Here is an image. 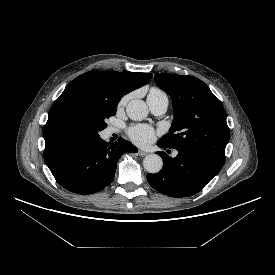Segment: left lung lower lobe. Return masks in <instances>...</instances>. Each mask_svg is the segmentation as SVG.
<instances>
[{
    "label": "left lung lower lobe",
    "instance_id": "left-lung-lower-lobe-1",
    "mask_svg": "<svg viewBox=\"0 0 275 275\" xmlns=\"http://www.w3.org/2000/svg\"><path fill=\"white\" fill-rule=\"evenodd\" d=\"M157 145L170 148L160 142ZM176 150L178 155L175 158L165 152H158L163 158V168L156 174L147 175L154 189L170 197L196 194L220 171L225 162L194 150Z\"/></svg>",
    "mask_w": 275,
    "mask_h": 275
}]
</instances>
